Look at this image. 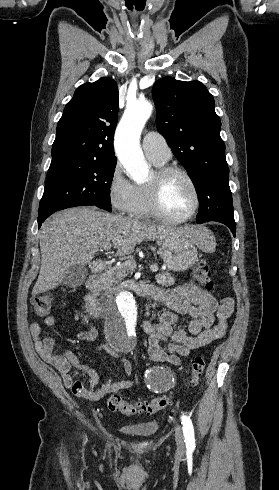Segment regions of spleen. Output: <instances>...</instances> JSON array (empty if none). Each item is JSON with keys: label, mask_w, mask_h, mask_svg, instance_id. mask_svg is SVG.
Instances as JSON below:
<instances>
[{"label": "spleen", "mask_w": 279, "mask_h": 490, "mask_svg": "<svg viewBox=\"0 0 279 490\" xmlns=\"http://www.w3.org/2000/svg\"><path fill=\"white\" fill-rule=\"evenodd\" d=\"M215 238L210 232V230H207V228H202L201 234H200V250L202 252H208V254H211V252H215Z\"/></svg>", "instance_id": "spleen-1"}]
</instances>
